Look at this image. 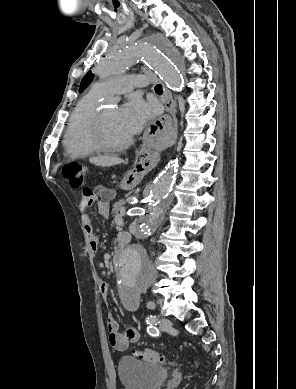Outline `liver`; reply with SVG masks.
Masks as SVG:
<instances>
[{"mask_svg": "<svg viewBox=\"0 0 296 389\" xmlns=\"http://www.w3.org/2000/svg\"><path fill=\"white\" fill-rule=\"evenodd\" d=\"M90 163L97 165V166H102V167H110L114 165H119L124 162L123 159H120L118 157H111V156H96V157H91L89 159Z\"/></svg>", "mask_w": 296, "mask_h": 389, "instance_id": "liver-1", "label": "liver"}]
</instances>
